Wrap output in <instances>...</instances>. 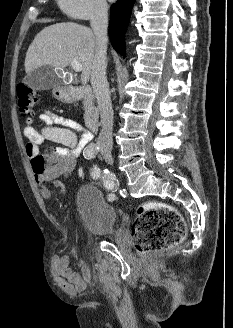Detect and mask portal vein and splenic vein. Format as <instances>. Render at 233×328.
Wrapping results in <instances>:
<instances>
[{
  "label": "portal vein and splenic vein",
  "mask_w": 233,
  "mask_h": 328,
  "mask_svg": "<svg viewBox=\"0 0 233 328\" xmlns=\"http://www.w3.org/2000/svg\"><path fill=\"white\" fill-rule=\"evenodd\" d=\"M71 65H72V68L74 69L75 72H81L82 71V65L76 59L72 60Z\"/></svg>",
  "instance_id": "portal-vein-and-splenic-vein-1"
}]
</instances>
